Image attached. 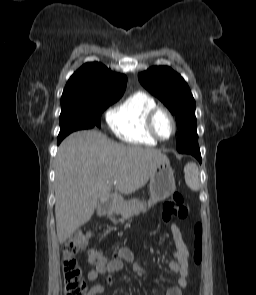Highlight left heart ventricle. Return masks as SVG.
Here are the masks:
<instances>
[{
    "label": "left heart ventricle",
    "instance_id": "left-heart-ventricle-1",
    "mask_svg": "<svg viewBox=\"0 0 256 295\" xmlns=\"http://www.w3.org/2000/svg\"><path fill=\"white\" fill-rule=\"evenodd\" d=\"M156 129L163 138H169L171 136L172 124L166 115L161 114L157 117Z\"/></svg>",
    "mask_w": 256,
    "mask_h": 295
}]
</instances>
